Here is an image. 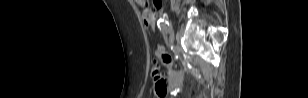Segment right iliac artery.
I'll return each instance as SVG.
<instances>
[{
    "mask_svg": "<svg viewBox=\"0 0 308 98\" xmlns=\"http://www.w3.org/2000/svg\"><path fill=\"white\" fill-rule=\"evenodd\" d=\"M157 26L163 35L167 34L168 22L164 21V19H159L157 22Z\"/></svg>",
    "mask_w": 308,
    "mask_h": 98,
    "instance_id": "1",
    "label": "right iliac artery"
}]
</instances>
